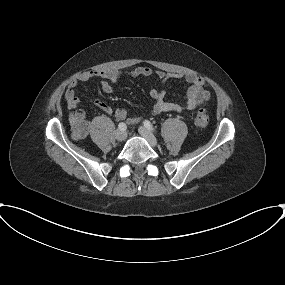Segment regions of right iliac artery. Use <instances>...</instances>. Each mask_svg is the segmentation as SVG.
<instances>
[{
  "mask_svg": "<svg viewBox=\"0 0 285 285\" xmlns=\"http://www.w3.org/2000/svg\"><path fill=\"white\" fill-rule=\"evenodd\" d=\"M119 130L125 131L127 129V126L125 123L121 122L118 125Z\"/></svg>",
  "mask_w": 285,
  "mask_h": 285,
  "instance_id": "1",
  "label": "right iliac artery"
}]
</instances>
